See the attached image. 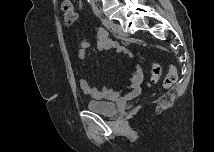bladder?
I'll return each instance as SVG.
<instances>
[{
	"label": "bladder",
	"mask_w": 215,
	"mask_h": 152,
	"mask_svg": "<svg viewBox=\"0 0 215 152\" xmlns=\"http://www.w3.org/2000/svg\"><path fill=\"white\" fill-rule=\"evenodd\" d=\"M86 107L92 112L107 117H113L117 113V105L113 102L89 100L86 102Z\"/></svg>",
	"instance_id": "obj_1"
}]
</instances>
